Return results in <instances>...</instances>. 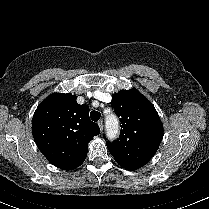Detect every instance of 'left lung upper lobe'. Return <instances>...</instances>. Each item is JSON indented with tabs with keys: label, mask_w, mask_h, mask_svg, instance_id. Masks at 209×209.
I'll return each mask as SVG.
<instances>
[{
	"label": "left lung upper lobe",
	"mask_w": 209,
	"mask_h": 209,
	"mask_svg": "<svg viewBox=\"0 0 209 209\" xmlns=\"http://www.w3.org/2000/svg\"><path fill=\"white\" fill-rule=\"evenodd\" d=\"M112 108L122 124L119 139L106 142L119 164L144 166L156 153L163 126L154 106L136 89L122 90L112 96Z\"/></svg>",
	"instance_id": "obj_1"
}]
</instances>
